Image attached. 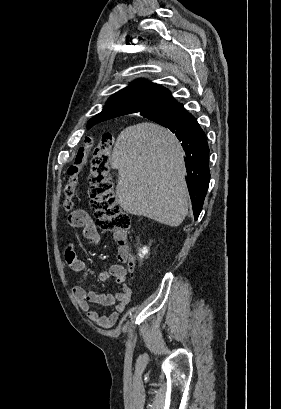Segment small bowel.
<instances>
[{"instance_id": "1", "label": "small bowel", "mask_w": 281, "mask_h": 409, "mask_svg": "<svg viewBox=\"0 0 281 409\" xmlns=\"http://www.w3.org/2000/svg\"><path fill=\"white\" fill-rule=\"evenodd\" d=\"M68 223L72 227L81 228L83 236L92 249H98L101 244L100 236L96 226L83 209H76L68 216ZM65 261L67 265L76 272L84 271L85 263L80 260L70 244L65 251ZM98 280L105 282L113 279L120 289L115 294H107L92 291L83 286H74L72 293L79 307L87 312L88 318L102 328L112 327L119 316L126 310L132 298V289L127 284L128 270L122 265L114 264L98 273ZM96 304L102 307H113V310L107 314H100L91 309V305Z\"/></svg>"}]
</instances>
